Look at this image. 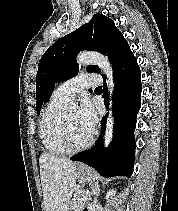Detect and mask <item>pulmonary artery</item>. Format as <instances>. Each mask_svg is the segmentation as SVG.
I'll return each instance as SVG.
<instances>
[{
  "label": "pulmonary artery",
  "instance_id": "1",
  "mask_svg": "<svg viewBox=\"0 0 178 211\" xmlns=\"http://www.w3.org/2000/svg\"><path fill=\"white\" fill-rule=\"evenodd\" d=\"M100 82L99 75L96 73L79 75L59 85L55 90V95L71 101L85 88L97 86Z\"/></svg>",
  "mask_w": 178,
  "mask_h": 211
}]
</instances>
